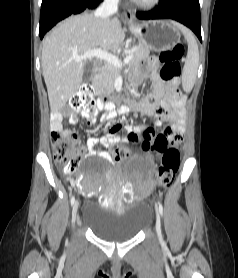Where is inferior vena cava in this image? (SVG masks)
<instances>
[{"label": "inferior vena cava", "mask_w": 238, "mask_h": 278, "mask_svg": "<svg viewBox=\"0 0 238 278\" xmlns=\"http://www.w3.org/2000/svg\"><path fill=\"white\" fill-rule=\"evenodd\" d=\"M118 2L119 0H104L102 5L96 10L95 15L103 20L107 19L117 12Z\"/></svg>", "instance_id": "602c4592"}]
</instances>
